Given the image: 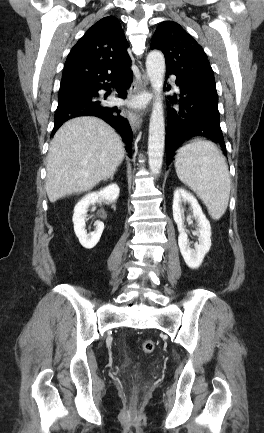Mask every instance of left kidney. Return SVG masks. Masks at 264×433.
I'll return each mask as SVG.
<instances>
[{"mask_svg": "<svg viewBox=\"0 0 264 433\" xmlns=\"http://www.w3.org/2000/svg\"><path fill=\"white\" fill-rule=\"evenodd\" d=\"M186 202L191 205V210L193 212L192 216L196 220L198 226L199 244L195 245V249L189 247L188 236L183 227L184 209L182 207V204ZM172 208L173 218L175 223L177 224L179 231L178 245L180 248V252L184 258L186 265L191 269H197L202 264L205 255L211 247L210 222L203 214L201 206L199 205L197 199L183 188H177L174 191Z\"/></svg>", "mask_w": 264, "mask_h": 433, "instance_id": "obj_1", "label": "left kidney"}]
</instances>
